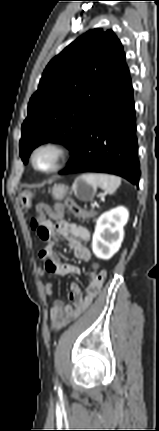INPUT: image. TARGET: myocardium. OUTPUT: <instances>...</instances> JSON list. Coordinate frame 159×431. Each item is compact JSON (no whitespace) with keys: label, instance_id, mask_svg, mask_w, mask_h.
<instances>
[{"label":"myocardium","instance_id":"f54148a6","mask_svg":"<svg viewBox=\"0 0 159 431\" xmlns=\"http://www.w3.org/2000/svg\"><path fill=\"white\" fill-rule=\"evenodd\" d=\"M50 149L53 150L56 154V161L54 165L46 170L40 169L36 164V155L41 150ZM69 156V149L65 144L58 140L48 139L44 140L37 145L34 146L30 153V162L32 167L43 174H50L58 171L60 168L64 166Z\"/></svg>","mask_w":159,"mask_h":431}]
</instances>
